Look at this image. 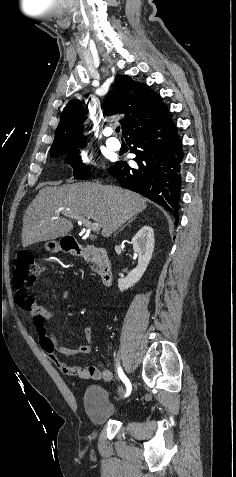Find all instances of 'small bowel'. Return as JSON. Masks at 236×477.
<instances>
[{
  "instance_id": "obj_1",
  "label": "small bowel",
  "mask_w": 236,
  "mask_h": 477,
  "mask_svg": "<svg viewBox=\"0 0 236 477\" xmlns=\"http://www.w3.org/2000/svg\"><path fill=\"white\" fill-rule=\"evenodd\" d=\"M49 283L50 281L47 280L43 285L48 286ZM63 298L65 301L69 299L67 292L64 293ZM21 309L31 315L33 327L39 337L40 346L44 354L59 368L60 371L78 379L103 380L105 382H109L112 379V372L110 368H104L101 370L95 365L76 367L61 361L57 355L62 354L65 356H75L90 354L92 351L91 342L93 339V332L90 327L85 326L82 328L86 343L80 345L76 349L69 348L57 340L51 325L50 332H48L47 323L53 321L55 317L54 311L43 307L33 296L27 300L26 307Z\"/></svg>"
}]
</instances>
